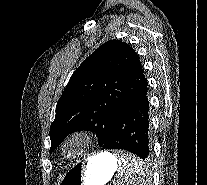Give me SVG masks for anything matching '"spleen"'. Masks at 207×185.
Returning a JSON list of instances; mask_svg holds the SVG:
<instances>
[{"label":"spleen","instance_id":"obj_1","mask_svg":"<svg viewBox=\"0 0 207 185\" xmlns=\"http://www.w3.org/2000/svg\"><path fill=\"white\" fill-rule=\"evenodd\" d=\"M118 158L119 168L116 170L113 185H145V182H150L146 179H152V174H148L142 159H131L137 158V153L118 151Z\"/></svg>","mask_w":207,"mask_h":185}]
</instances>
